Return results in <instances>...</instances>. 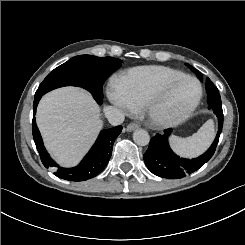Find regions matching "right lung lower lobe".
I'll list each match as a JSON object with an SVG mask.
<instances>
[{
	"mask_svg": "<svg viewBox=\"0 0 245 245\" xmlns=\"http://www.w3.org/2000/svg\"><path fill=\"white\" fill-rule=\"evenodd\" d=\"M41 96H35L33 104V125L32 132L36 148L40 154L41 161L46 168H55L54 175L69 181H84L97 176L104 170L110 156L115 139L122 131L121 126L101 131L96 143L89 153L84 157L81 163L74 168H62L56 164L47 153L40 132L35 122L36 107Z\"/></svg>",
	"mask_w": 245,
	"mask_h": 245,
	"instance_id": "right-lung-lower-lobe-1",
	"label": "right lung lower lobe"
}]
</instances>
